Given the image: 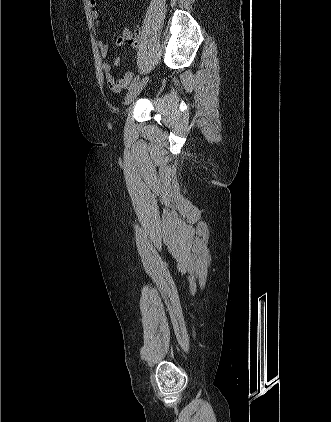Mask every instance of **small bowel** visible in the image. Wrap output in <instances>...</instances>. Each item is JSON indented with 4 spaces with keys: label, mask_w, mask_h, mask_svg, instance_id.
<instances>
[{
    "label": "small bowel",
    "mask_w": 331,
    "mask_h": 422,
    "mask_svg": "<svg viewBox=\"0 0 331 422\" xmlns=\"http://www.w3.org/2000/svg\"><path fill=\"white\" fill-rule=\"evenodd\" d=\"M88 1H89V5L91 7H93V8L96 7L97 0H88ZM91 17H92V20L94 22V25L98 28L99 25H100V23H99V13L96 10H92L91 11ZM139 35H140V29L139 28H135L134 30H132L130 27L125 26L122 30L121 36L118 37L117 40H116V45L120 46L124 42H127L131 47H133L134 49H136L138 51L140 49ZM97 46H98L100 56L103 60V64H102L103 74H104V77H105L109 87L114 92H121L132 81V79H133L132 73L127 71L119 78L114 77L113 74H112V68L115 67V66H118L120 64V62H121L120 57H115V58H113V60L111 62H108V60H107L108 56H109V46H108V44L104 40L100 39L97 42Z\"/></svg>",
    "instance_id": "1"
}]
</instances>
